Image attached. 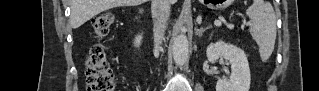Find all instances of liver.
Wrapping results in <instances>:
<instances>
[{"instance_id":"liver-1","label":"liver","mask_w":319,"mask_h":91,"mask_svg":"<svg viewBox=\"0 0 319 91\" xmlns=\"http://www.w3.org/2000/svg\"><path fill=\"white\" fill-rule=\"evenodd\" d=\"M146 0H71V25L74 29L80 27L101 12L119 6H136ZM176 0H170L174 4Z\"/></svg>"}]
</instances>
